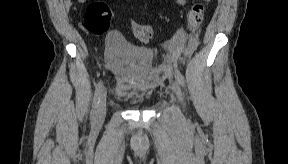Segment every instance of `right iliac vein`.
I'll return each instance as SVG.
<instances>
[{"mask_svg":"<svg viewBox=\"0 0 288 164\" xmlns=\"http://www.w3.org/2000/svg\"><path fill=\"white\" fill-rule=\"evenodd\" d=\"M106 110H107L106 97L105 94L103 93L101 94L97 108V116H96L97 121H103L105 119Z\"/></svg>","mask_w":288,"mask_h":164,"instance_id":"63e3f726","label":"right iliac vein"}]
</instances>
